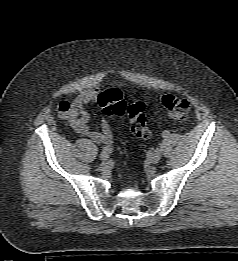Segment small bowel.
<instances>
[{
    "instance_id": "c3829d8e",
    "label": "small bowel",
    "mask_w": 238,
    "mask_h": 261,
    "mask_svg": "<svg viewBox=\"0 0 238 261\" xmlns=\"http://www.w3.org/2000/svg\"><path fill=\"white\" fill-rule=\"evenodd\" d=\"M101 91L90 88L82 91L71 102L62 101L59 106V115L75 132L86 136L97 144L110 145L113 140L112 130L107 119L103 118L100 129L94 130L89 125L90 115L85 105L98 102Z\"/></svg>"
}]
</instances>
